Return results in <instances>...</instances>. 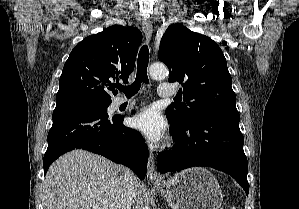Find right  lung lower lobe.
<instances>
[{
	"label": "right lung lower lobe",
	"instance_id": "obj_1",
	"mask_svg": "<svg viewBox=\"0 0 299 209\" xmlns=\"http://www.w3.org/2000/svg\"><path fill=\"white\" fill-rule=\"evenodd\" d=\"M43 159L44 175L62 154L84 149L130 167L143 180L148 149L139 132L123 125L121 116H108L77 103L56 104Z\"/></svg>",
	"mask_w": 299,
	"mask_h": 209
}]
</instances>
